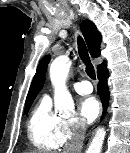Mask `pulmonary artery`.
<instances>
[{"label":"pulmonary artery","instance_id":"1","mask_svg":"<svg viewBox=\"0 0 130 153\" xmlns=\"http://www.w3.org/2000/svg\"><path fill=\"white\" fill-rule=\"evenodd\" d=\"M72 87L79 94H89L93 91V87L88 81L75 82Z\"/></svg>","mask_w":130,"mask_h":153}]
</instances>
